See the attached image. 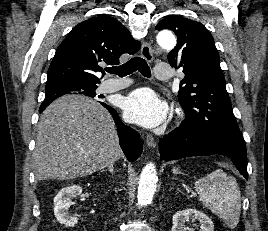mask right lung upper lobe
<instances>
[{"label": "right lung upper lobe", "instance_id": "right-lung-upper-lobe-1", "mask_svg": "<svg viewBox=\"0 0 268 231\" xmlns=\"http://www.w3.org/2000/svg\"><path fill=\"white\" fill-rule=\"evenodd\" d=\"M141 45L115 18L98 16L77 24L58 46L48 69L47 83L61 80L98 84L99 63L119 64L123 53L134 54ZM104 74V72H103ZM53 99H45L39 110Z\"/></svg>", "mask_w": 268, "mask_h": 231}]
</instances>
